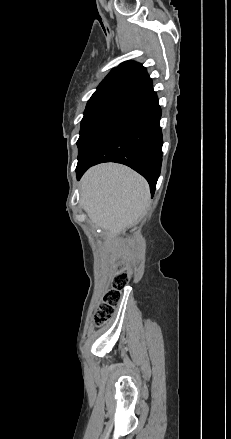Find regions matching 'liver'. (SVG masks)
Masks as SVG:
<instances>
[{
    "label": "liver",
    "mask_w": 231,
    "mask_h": 439,
    "mask_svg": "<svg viewBox=\"0 0 231 439\" xmlns=\"http://www.w3.org/2000/svg\"><path fill=\"white\" fill-rule=\"evenodd\" d=\"M80 190L83 209L95 227L104 229L107 241L124 234L150 203L147 181L115 163L89 169L81 179Z\"/></svg>",
    "instance_id": "liver-1"
}]
</instances>
